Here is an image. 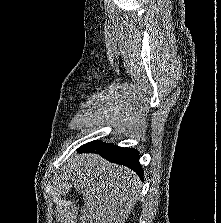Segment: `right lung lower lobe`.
Here are the masks:
<instances>
[{"label": "right lung lower lobe", "instance_id": "right-lung-lower-lobe-1", "mask_svg": "<svg viewBox=\"0 0 221 223\" xmlns=\"http://www.w3.org/2000/svg\"><path fill=\"white\" fill-rule=\"evenodd\" d=\"M78 152L100 154L110 162L125 165L134 170L141 178L143 177V170L139 163V153L135 149L122 148L101 141H92L81 146Z\"/></svg>", "mask_w": 221, "mask_h": 223}]
</instances>
